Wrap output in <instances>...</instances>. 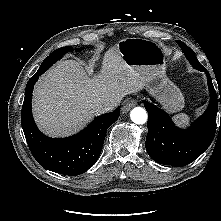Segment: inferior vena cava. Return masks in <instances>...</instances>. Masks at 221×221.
<instances>
[{"instance_id":"inferior-vena-cava-1","label":"inferior vena cava","mask_w":221,"mask_h":221,"mask_svg":"<svg viewBox=\"0 0 221 221\" xmlns=\"http://www.w3.org/2000/svg\"><path fill=\"white\" fill-rule=\"evenodd\" d=\"M120 101H121L120 97H111L101 100L98 106L103 111L108 112L114 110L119 105Z\"/></svg>"}]
</instances>
